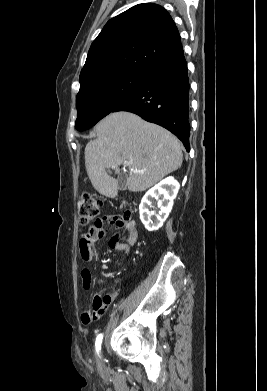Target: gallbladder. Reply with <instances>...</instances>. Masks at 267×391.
Returning a JSON list of instances; mask_svg holds the SVG:
<instances>
[{
	"label": "gallbladder",
	"instance_id": "gallbladder-1",
	"mask_svg": "<svg viewBox=\"0 0 267 391\" xmlns=\"http://www.w3.org/2000/svg\"><path fill=\"white\" fill-rule=\"evenodd\" d=\"M117 187L119 190L124 191L127 189V180L124 174H121L117 180Z\"/></svg>",
	"mask_w": 267,
	"mask_h": 391
}]
</instances>
